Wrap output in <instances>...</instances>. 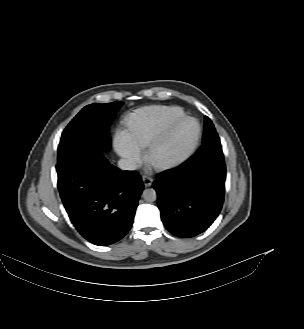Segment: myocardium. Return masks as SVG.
<instances>
[{"label": "myocardium", "mask_w": 304, "mask_h": 329, "mask_svg": "<svg viewBox=\"0 0 304 329\" xmlns=\"http://www.w3.org/2000/svg\"><path fill=\"white\" fill-rule=\"evenodd\" d=\"M192 120L196 123L197 131L194 140L190 146L178 157L166 161H158L155 159V154L161 146L168 142L173 136L176 128L184 121ZM202 136V127L199 120L192 116L184 115L175 121H173L163 134L154 139L147 148L146 161L147 163L157 171H168L175 169L185 162H187L193 154L196 152Z\"/></svg>", "instance_id": "1"}]
</instances>
